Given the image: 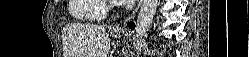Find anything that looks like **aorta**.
Returning a JSON list of instances; mask_svg holds the SVG:
<instances>
[{
    "mask_svg": "<svg viewBox=\"0 0 249 57\" xmlns=\"http://www.w3.org/2000/svg\"><path fill=\"white\" fill-rule=\"evenodd\" d=\"M157 5L158 0H143L136 22L137 37L141 38L150 28Z\"/></svg>",
    "mask_w": 249,
    "mask_h": 57,
    "instance_id": "aorta-1",
    "label": "aorta"
}]
</instances>
